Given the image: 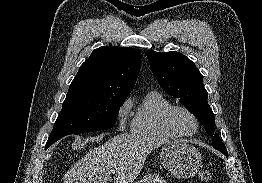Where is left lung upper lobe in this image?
<instances>
[{
    "mask_svg": "<svg viewBox=\"0 0 262 183\" xmlns=\"http://www.w3.org/2000/svg\"><path fill=\"white\" fill-rule=\"evenodd\" d=\"M151 70L161 88L179 101L200 121L207 134L212 136V145L227 152L219 135H214V114L204 88L203 76L195 64L179 52H155L147 50Z\"/></svg>",
    "mask_w": 262,
    "mask_h": 183,
    "instance_id": "1",
    "label": "left lung upper lobe"
}]
</instances>
